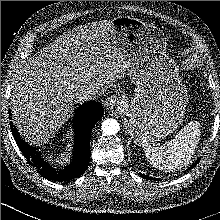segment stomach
<instances>
[{
    "instance_id": "obj_1",
    "label": "stomach",
    "mask_w": 220,
    "mask_h": 220,
    "mask_svg": "<svg viewBox=\"0 0 220 220\" xmlns=\"http://www.w3.org/2000/svg\"><path fill=\"white\" fill-rule=\"evenodd\" d=\"M112 24L126 72L136 85L134 97L123 103L127 131L135 144L154 143L183 121L186 86L165 54V36L159 28L130 16L116 17Z\"/></svg>"
}]
</instances>
